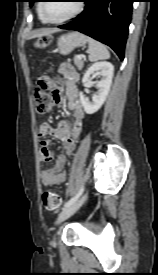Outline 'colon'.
Here are the masks:
<instances>
[{"mask_svg":"<svg viewBox=\"0 0 158 275\" xmlns=\"http://www.w3.org/2000/svg\"><path fill=\"white\" fill-rule=\"evenodd\" d=\"M51 43L50 36H42L36 43V46L41 49L47 48ZM54 93L48 90V84L46 81L39 79L34 91L35 107L39 114H45L49 112L53 100ZM42 204L47 210H57L61 205L60 196L49 190H45L41 194Z\"/></svg>","mask_w":158,"mask_h":275,"instance_id":"5ec220e1","label":"colon"}]
</instances>
